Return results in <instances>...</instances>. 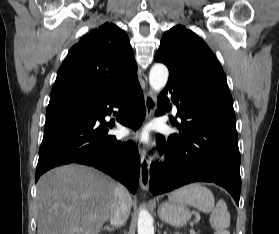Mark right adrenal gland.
I'll use <instances>...</instances> for the list:
<instances>
[{
  "label": "right adrenal gland",
  "mask_w": 279,
  "mask_h": 234,
  "mask_svg": "<svg viewBox=\"0 0 279 234\" xmlns=\"http://www.w3.org/2000/svg\"><path fill=\"white\" fill-rule=\"evenodd\" d=\"M117 227H110V226H105L102 230H107L108 232H113Z\"/></svg>",
  "instance_id": "1"
}]
</instances>
